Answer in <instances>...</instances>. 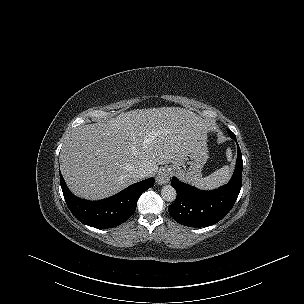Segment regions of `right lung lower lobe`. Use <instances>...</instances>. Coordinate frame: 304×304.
I'll return each mask as SVG.
<instances>
[{
    "label": "right lung lower lobe",
    "mask_w": 304,
    "mask_h": 304,
    "mask_svg": "<svg viewBox=\"0 0 304 304\" xmlns=\"http://www.w3.org/2000/svg\"><path fill=\"white\" fill-rule=\"evenodd\" d=\"M60 184L67 206L80 222L95 228H111L132 216L140 195L154 185V178L132 184L120 193L100 201H87L75 197L62 175Z\"/></svg>",
    "instance_id": "1"
}]
</instances>
